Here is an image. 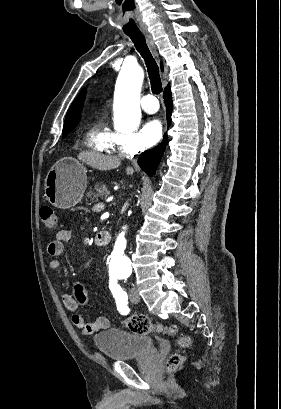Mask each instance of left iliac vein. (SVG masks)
I'll return each instance as SVG.
<instances>
[{"mask_svg": "<svg viewBox=\"0 0 281 409\" xmlns=\"http://www.w3.org/2000/svg\"><path fill=\"white\" fill-rule=\"evenodd\" d=\"M129 298H130L131 302H133V303H138L140 301L139 294H138L135 287H132L130 289Z\"/></svg>", "mask_w": 281, "mask_h": 409, "instance_id": "1", "label": "left iliac vein"}]
</instances>
